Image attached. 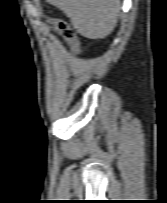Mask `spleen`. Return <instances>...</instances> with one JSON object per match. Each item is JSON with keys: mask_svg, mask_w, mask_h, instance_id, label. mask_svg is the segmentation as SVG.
Returning a JSON list of instances; mask_svg holds the SVG:
<instances>
[{"mask_svg": "<svg viewBox=\"0 0 167 203\" xmlns=\"http://www.w3.org/2000/svg\"><path fill=\"white\" fill-rule=\"evenodd\" d=\"M59 8L76 31L90 39H102L115 28L120 0H48Z\"/></svg>", "mask_w": 167, "mask_h": 203, "instance_id": "obj_1", "label": "spleen"}]
</instances>
